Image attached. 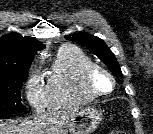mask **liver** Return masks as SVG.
<instances>
[{
  "mask_svg": "<svg viewBox=\"0 0 153 134\" xmlns=\"http://www.w3.org/2000/svg\"><path fill=\"white\" fill-rule=\"evenodd\" d=\"M77 108H71L49 114L39 115L33 120L17 122L10 120L0 121V134H42V132H53L52 134H67Z\"/></svg>",
  "mask_w": 153,
  "mask_h": 134,
  "instance_id": "obj_1",
  "label": "liver"
}]
</instances>
